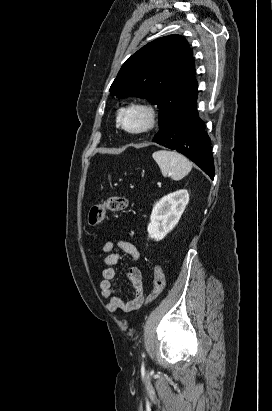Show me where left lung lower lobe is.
I'll return each mask as SVG.
<instances>
[{
    "label": "left lung lower lobe",
    "instance_id": "obj_1",
    "mask_svg": "<svg viewBox=\"0 0 272 411\" xmlns=\"http://www.w3.org/2000/svg\"><path fill=\"white\" fill-rule=\"evenodd\" d=\"M196 100L197 94L170 117L152 141L182 153L213 179L210 138L199 118Z\"/></svg>",
    "mask_w": 272,
    "mask_h": 411
}]
</instances>
